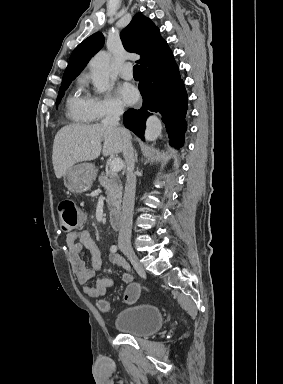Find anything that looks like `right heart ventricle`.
I'll return each mask as SVG.
<instances>
[{
	"instance_id": "e07e8e85",
	"label": "right heart ventricle",
	"mask_w": 283,
	"mask_h": 384,
	"mask_svg": "<svg viewBox=\"0 0 283 384\" xmlns=\"http://www.w3.org/2000/svg\"><path fill=\"white\" fill-rule=\"evenodd\" d=\"M66 115L75 124L92 123L89 95L84 92V83L78 79L70 89L65 101Z\"/></svg>"
}]
</instances>
